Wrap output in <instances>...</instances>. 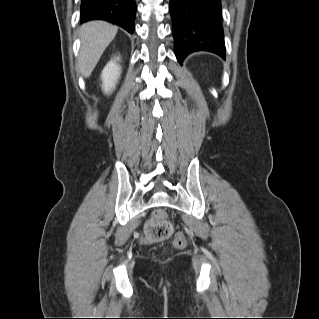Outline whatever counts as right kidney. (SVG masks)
<instances>
[{
    "mask_svg": "<svg viewBox=\"0 0 319 319\" xmlns=\"http://www.w3.org/2000/svg\"><path fill=\"white\" fill-rule=\"evenodd\" d=\"M116 60H119V58L111 60L101 74L102 89L107 94L115 89V85L121 74V67L116 63Z\"/></svg>",
    "mask_w": 319,
    "mask_h": 319,
    "instance_id": "1",
    "label": "right kidney"
}]
</instances>
